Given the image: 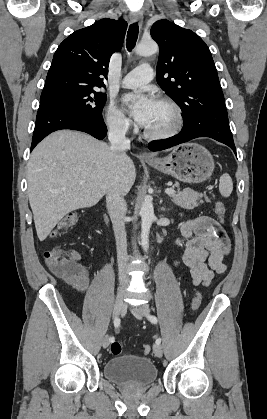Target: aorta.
Listing matches in <instances>:
<instances>
[{"mask_svg":"<svg viewBox=\"0 0 267 419\" xmlns=\"http://www.w3.org/2000/svg\"><path fill=\"white\" fill-rule=\"evenodd\" d=\"M158 45L154 41L141 42L136 53L141 56H151L158 52ZM141 216V246L145 252L149 248V233L154 219V208L152 198L146 196L142 202L140 209Z\"/></svg>","mask_w":267,"mask_h":419,"instance_id":"1","label":"aorta"}]
</instances>
